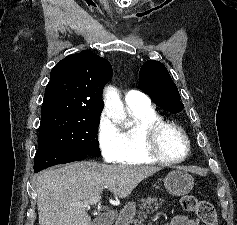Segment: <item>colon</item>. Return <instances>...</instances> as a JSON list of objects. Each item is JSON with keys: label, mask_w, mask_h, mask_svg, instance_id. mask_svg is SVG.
Wrapping results in <instances>:
<instances>
[{"label": "colon", "mask_w": 237, "mask_h": 225, "mask_svg": "<svg viewBox=\"0 0 237 225\" xmlns=\"http://www.w3.org/2000/svg\"><path fill=\"white\" fill-rule=\"evenodd\" d=\"M181 205L187 212H194L205 225H217L215 207L208 201H200L193 195L183 196Z\"/></svg>", "instance_id": "5ec220e1"}]
</instances>
